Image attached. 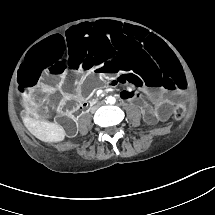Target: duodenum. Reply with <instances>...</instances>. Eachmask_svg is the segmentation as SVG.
<instances>
[{
  "instance_id": "duodenum-1",
  "label": "duodenum",
  "mask_w": 215,
  "mask_h": 215,
  "mask_svg": "<svg viewBox=\"0 0 215 215\" xmlns=\"http://www.w3.org/2000/svg\"><path fill=\"white\" fill-rule=\"evenodd\" d=\"M97 103H98V100H97L96 98H93V99L89 100V101L85 104V106L88 108V107H91V106L96 105Z\"/></svg>"
}]
</instances>
